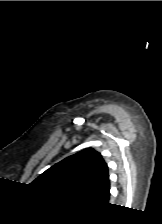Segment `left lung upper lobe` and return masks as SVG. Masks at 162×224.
<instances>
[{
	"mask_svg": "<svg viewBox=\"0 0 162 224\" xmlns=\"http://www.w3.org/2000/svg\"><path fill=\"white\" fill-rule=\"evenodd\" d=\"M108 179V167L102 156L88 148L51 166L32 185L57 196L87 199Z\"/></svg>",
	"mask_w": 162,
	"mask_h": 224,
	"instance_id": "left-lung-upper-lobe-1",
	"label": "left lung upper lobe"
}]
</instances>
